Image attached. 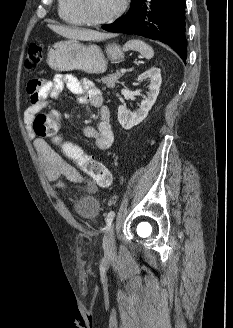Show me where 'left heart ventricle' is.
I'll return each instance as SVG.
<instances>
[{
	"mask_svg": "<svg viewBox=\"0 0 233 328\" xmlns=\"http://www.w3.org/2000/svg\"><path fill=\"white\" fill-rule=\"evenodd\" d=\"M88 14L101 19L114 12L122 0H85Z\"/></svg>",
	"mask_w": 233,
	"mask_h": 328,
	"instance_id": "b2bd125f",
	"label": "left heart ventricle"
}]
</instances>
